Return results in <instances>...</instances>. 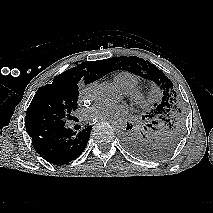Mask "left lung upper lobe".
<instances>
[{
    "label": "left lung upper lobe",
    "instance_id": "obj_1",
    "mask_svg": "<svg viewBox=\"0 0 213 213\" xmlns=\"http://www.w3.org/2000/svg\"><path fill=\"white\" fill-rule=\"evenodd\" d=\"M106 68L127 70L142 78L153 81L162 91L163 98L154 109L142 117L145 126L126 130L123 143L136 156L145 159H160L170 154L180 142L185 124L183 105L173 83L155 65L147 64L136 56L112 57L105 61Z\"/></svg>",
    "mask_w": 213,
    "mask_h": 213
}]
</instances>
